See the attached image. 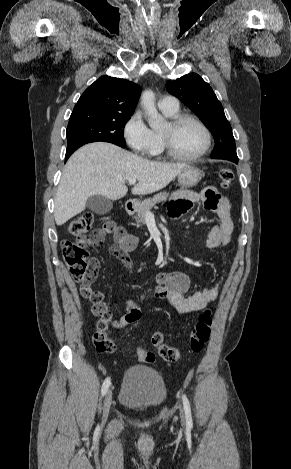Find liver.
Here are the masks:
<instances>
[{"label": "liver", "mask_w": 291, "mask_h": 469, "mask_svg": "<svg viewBox=\"0 0 291 469\" xmlns=\"http://www.w3.org/2000/svg\"><path fill=\"white\" fill-rule=\"evenodd\" d=\"M184 163L154 162L116 145L94 142L78 149L67 161L55 197L54 218L58 226L84 211L93 195L118 200L127 194L126 181L134 178V195H146L166 187Z\"/></svg>", "instance_id": "6515ba94"}]
</instances>
